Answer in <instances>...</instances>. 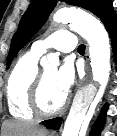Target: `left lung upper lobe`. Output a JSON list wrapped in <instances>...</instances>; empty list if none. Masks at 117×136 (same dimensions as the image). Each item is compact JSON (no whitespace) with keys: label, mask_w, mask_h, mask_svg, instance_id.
<instances>
[{"label":"left lung upper lobe","mask_w":117,"mask_h":136,"mask_svg":"<svg viewBox=\"0 0 117 136\" xmlns=\"http://www.w3.org/2000/svg\"><path fill=\"white\" fill-rule=\"evenodd\" d=\"M70 5L82 7L98 16L104 23L109 17L115 15L111 0H61ZM57 0H33L19 23L15 32L7 59L9 68L18 51L43 26L49 14L56 6Z\"/></svg>","instance_id":"1"}]
</instances>
